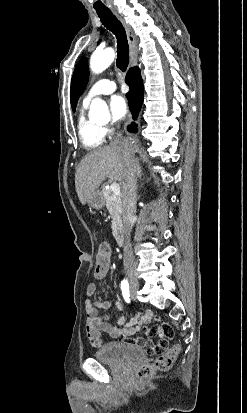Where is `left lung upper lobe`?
Returning <instances> with one entry per match:
<instances>
[{"instance_id":"1","label":"left lung upper lobe","mask_w":247,"mask_h":413,"mask_svg":"<svg viewBox=\"0 0 247 413\" xmlns=\"http://www.w3.org/2000/svg\"><path fill=\"white\" fill-rule=\"evenodd\" d=\"M88 64L87 59H81L75 67L72 80H71V106L73 111L76 109L77 101L82 94L83 90L85 89L87 82H88Z\"/></svg>"}]
</instances>
